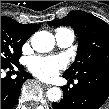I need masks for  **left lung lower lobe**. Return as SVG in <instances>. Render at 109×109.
Wrapping results in <instances>:
<instances>
[{
  "label": "left lung lower lobe",
  "instance_id": "left-lung-lower-lobe-1",
  "mask_svg": "<svg viewBox=\"0 0 109 109\" xmlns=\"http://www.w3.org/2000/svg\"><path fill=\"white\" fill-rule=\"evenodd\" d=\"M63 76L78 83L62 87L63 99L52 104L54 109H99L109 96V66L94 65L74 77Z\"/></svg>",
  "mask_w": 109,
  "mask_h": 109
}]
</instances>
